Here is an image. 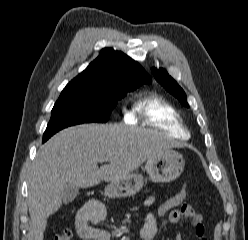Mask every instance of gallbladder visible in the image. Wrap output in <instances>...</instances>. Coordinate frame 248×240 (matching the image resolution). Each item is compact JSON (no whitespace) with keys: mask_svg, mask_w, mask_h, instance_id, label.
<instances>
[{"mask_svg":"<svg viewBox=\"0 0 248 240\" xmlns=\"http://www.w3.org/2000/svg\"><path fill=\"white\" fill-rule=\"evenodd\" d=\"M79 187L73 185H66L62 190V200L65 204L71 203L78 195Z\"/></svg>","mask_w":248,"mask_h":240,"instance_id":"1","label":"gallbladder"}]
</instances>
